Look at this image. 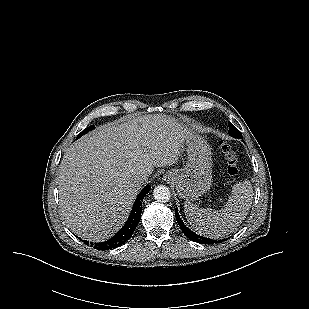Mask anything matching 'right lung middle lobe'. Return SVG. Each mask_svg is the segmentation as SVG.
Masks as SVG:
<instances>
[{
	"label": "right lung middle lobe",
	"instance_id": "right-lung-middle-lobe-1",
	"mask_svg": "<svg viewBox=\"0 0 309 309\" xmlns=\"http://www.w3.org/2000/svg\"><path fill=\"white\" fill-rule=\"evenodd\" d=\"M95 127L93 125L89 126L87 129L82 131L81 133L78 134L77 138L81 137L82 135L86 134L88 131L94 129Z\"/></svg>",
	"mask_w": 309,
	"mask_h": 309
}]
</instances>
